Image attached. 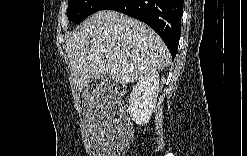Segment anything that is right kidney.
Segmentation results:
<instances>
[{
  "mask_svg": "<svg viewBox=\"0 0 247 156\" xmlns=\"http://www.w3.org/2000/svg\"><path fill=\"white\" fill-rule=\"evenodd\" d=\"M159 91V73L151 70L133 87L129 98L128 111L137 125L149 122L155 109Z\"/></svg>",
  "mask_w": 247,
  "mask_h": 156,
  "instance_id": "ca27d5eb",
  "label": "right kidney"
}]
</instances>
